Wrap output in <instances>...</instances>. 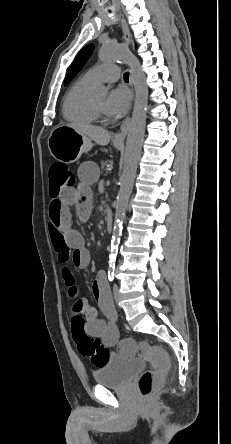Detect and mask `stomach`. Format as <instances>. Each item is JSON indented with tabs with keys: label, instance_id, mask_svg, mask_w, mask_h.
Wrapping results in <instances>:
<instances>
[{
	"label": "stomach",
	"instance_id": "obj_1",
	"mask_svg": "<svg viewBox=\"0 0 231 444\" xmlns=\"http://www.w3.org/2000/svg\"><path fill=\"white\" fill-rule=\"evenodd\" d=\"M117 149L122 144H114ZM48 147L52 156L61 162L72 163L80 158L82 153L89 151L92 141L87 136L68 126H57L48 139Z\"/></svg>",
	"mask_w": 231,
	"mask_h": 444
}]
</instances>
